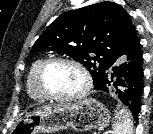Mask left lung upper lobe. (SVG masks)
<instances>
[{
	"label": "left lung upper lobe",
	"mask_w": 153,
	"mask_h": 134,
	"mask_svg": "<svg viewBox=\"0 0 153 134\" xmlns=\"http://www.w3.org/2000/svg\"><path fill=\"white\" fill-rule=\"evenodd\" d=\"M140 46L126 10L114 2H100L62 13L32 47L56 51L80 61L91 73L94 86L120 59Z\"/></svg>",
	"instance_id": "left-lung-upper-lobe-1"
}]
</instances>
